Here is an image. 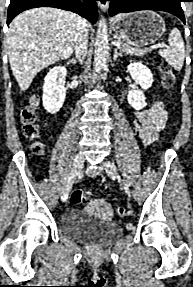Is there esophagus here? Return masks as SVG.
Here are the masks:
<instances>
[{
	"mask_svg": "<svg viewBox=\"0 0 193 287\" xmlns=\"http://www.w3.org/2000/svg\"><path fill=\"white\" fill-rule=\"evenodd\" d=\"M98 5L102 11H106L108 8V0H99Z\"/></svg>",
	"mask_w": 193,
	"mask_h": 287,
	"instance_id": "34e87169",
	"label": "esophagus"
}]
</instances>
